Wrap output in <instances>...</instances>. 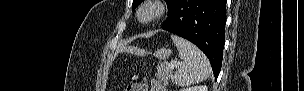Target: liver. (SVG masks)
<instances>
[{
  "instance_id": "6515ba94",
  "label": "liver",
  "mask_w": 304,
  "mask_h": 91,
  "mask_svg": "<svg viewBox=\"0 0 304 91\" xmlns=\"http://www.w3.org/2000/svg\"><path fill=\"white\" fill-rule=\"evenodd\" d=\"M122 51H126V52H130V53H139L142 52L140 51V49H138L137 47H130V46H125L122 48Z\"/></svg>"
}]
</instances>
